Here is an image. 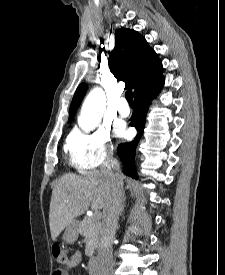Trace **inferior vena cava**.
Segmentation results:
<instances>
[{
  "label": "inferior vena cava",
  "instance_id": "inferior-vena-cava-1",
  "mask_svg": "<svg viewBox=\"0 0 225 275\" xmlns=\"http://www.w3.org/2000/svg\"><path fill=\"white\" fill-rule=\"evenodd\" d=\"M102 171L108 177V192L103 212L96 275H112V241L115 236L123 198V176L120 172L119 163L112 157V154L107 159Z\"/></svg>",
  "mask_w": 225,
  "mask_h": 275
}]
</instances>
